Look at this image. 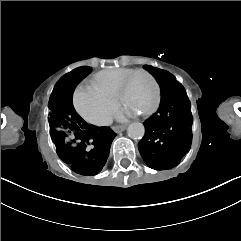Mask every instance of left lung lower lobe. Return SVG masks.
<instances>
[{
  "label": "left lung lower lobe",
  "mask_w": 241,
  "mask_h": 241,
  "mask_svg": "<svg viewBox=\"0 0 241 241\" xmlns=\"http://www.w3.org/2000/svg\"><path fill=\"white\" fill-rule=\"evenodd\" d=\"M182 86L161 93L158 111L144 122L145 136L138 143L140 154L152 169L176 166L191 143L190 103Z\"/></svg>",
  "instance_id": "0a47b994"
}]
</instances>
